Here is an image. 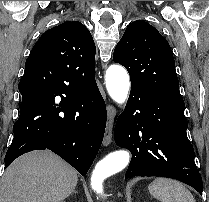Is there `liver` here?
<instances>
[{"label":"liver","mask_w":209,"mask_h":202,"mask_svg":"<svg viewBox=\"0 0 209 202\" xmlns=\"http://www.w3.org/2000/svg\"><path fill=\"white\" fill-rule=\"evenodd\" d=\"M77 172L49 151L14 161L0 181V202H60L75 189Z\"/></svg>","instance_id":"obj_1"}]
</instances>
